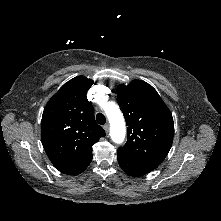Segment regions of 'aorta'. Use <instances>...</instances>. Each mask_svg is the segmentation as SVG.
<instances>
[{
  "label": "aorta",
  "mask_w": 221,
  "mask_h": 221,
  "mask_svg": "<svg viewBox=\"0 0 221 221\" xmlns=\"http://www.w3.org/2000/svg\"><path fill=\"white\" fill-rule=\"evenodd\" d=\"M105 113L110 122V136L113 142L121 144L126 135L124 117L115 103H109L105 108Z\"/></svg>",
  "instance_id": "762f6f07"
}]
</instances>
